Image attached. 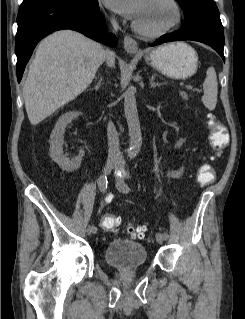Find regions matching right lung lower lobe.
Here are the masks:
<instances>
[{
	"label": "right lung lower lobe",
	"mask_w": 245,
	"mask_h": 319,
	"mask_svg": "<svg viewBox=\"0 0 245 319\" xmlns=\"http://www.w3.org/2000/svg\"><path fill=\"white\" fill-rule=\"evenodd\" d=\"M98 11L97 0H53L21 6L17 16L15 42L18 82L36 44L55 30L73 29L94 40L115 46L117 39L105 32L104 16Z\"/></svg>",
	"instance_id": "98d812e1"
}]
</instances>
